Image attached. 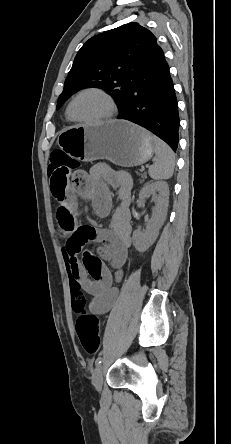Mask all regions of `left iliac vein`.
Returning a JSON list of instances; mask_svg holds the SVG:
<instances>
[{"label":"left iliac vein","mask_w":231,"mask_h":444,"mask_svg":"<svg viewBox=\"0 0 231 444\" xmlns=\"http://www.w3.org/2000/svg\"><path fill=\"white\" fill-rule=\"evenodd\" d=\"M103 382V366L102 364L98 365L93 373L92 383L94 387L100 391L102 388Z\"/></svg>","instance_id":"4c4485c4"}]
</instances>
